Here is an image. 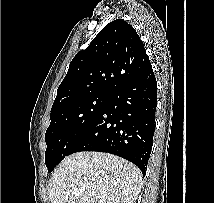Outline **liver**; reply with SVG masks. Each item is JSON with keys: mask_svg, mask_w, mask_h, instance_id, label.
<instances>
[{"mask_svg": "<svg viewBox=\"0 0 214 203\" xmlns=\"http://www.w3.org/2000/svg\"><path fill=\"white\" fill-rule=\"evenodd\" d=\"M142 174L134 164L103 152H78L66 157L55 170L51 203H135ZM74 189H81L74 194Z\"/></svg>", "mask_w": 214, "mask_h": 203, "instance_id": "liver-1", "label": "liver"}]
</instances>
